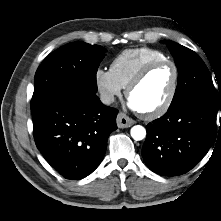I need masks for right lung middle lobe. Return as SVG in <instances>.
<instances>
[{
	"label": "right lung middle lobe",
	"instance_id": "obj_1",
	"mask_svg": "<svg viewBox=\"0 0 221 221\" xmlns=\"http://www.w3.org/2000/svg\"><path fill=\"white\" fill-rule=\"evenodd\" d=\"M105 52L99 45L73 42L47 56L35 74L31 111L65 89L76 88L96 94V73Z\"/></svg>",
	"mask_w": 221,
	"mask_h": 221
}]
</instances>
